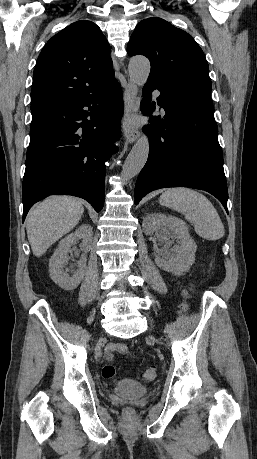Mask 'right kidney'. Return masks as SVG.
Here are the masks:
<instances>
[{"label":"right kidney","instance_id":"obj_1","mask_svg":"<svg viewBox=\"0 0 257 459\" xmlns=\"http://www.w3.org/2000/svg\"><path fill=\"white\" fill-rule=\"evenodd\" d=\"M93 230L89 224H83L75 232L69 234L59 242L58 248L49 260V272L51 279L65 290H73L81 283L86 266V253L91 248ZM82 240L80 249L84 252L78 263V269L72 270V276L67 272L69 269L63 268L68 264L71 247L78 241Z\"/></svg>","mask_w":257,"mask_h":459}]
</instances>
